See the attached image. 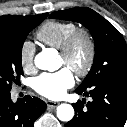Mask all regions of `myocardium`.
Segmentation results:
<instances>
[{
	"label": "myocardium",
	"mask_w": 127,
	"mask_h": 127,
	"mask_svg": "<svg viewBox=\"0 0 127 127\" xmlns=\"http://www.w3.org/2000/svg\"><path fill=\"white\" fill-rule=\"evenodd\" d=\"M83 41L87 47V57L84 65L80 68L72 67L71 57L75 47ZM60 56L64 59L65 65L77 76L84 77L92 69L96 58V41L92 32L88 28H77L64 42L60 48Z\"/></svg>",
	"instance_id": "1"
}]
</instances>
